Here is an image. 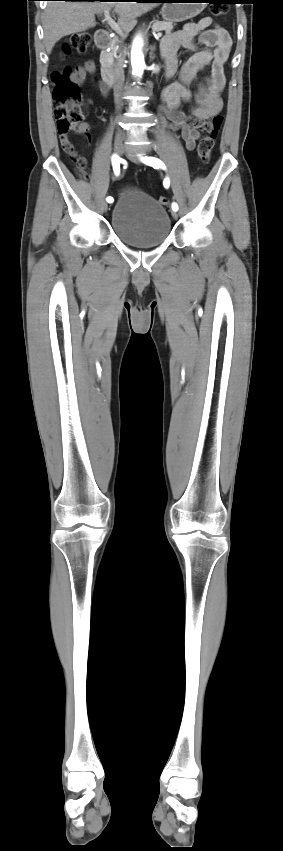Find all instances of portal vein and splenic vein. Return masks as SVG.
Listing matches in <instances>:
<instances>
[{
  "mask_svg": "<svg viewBox=\"0 0 283 851\" xmlns=\"http://www.w3.org/2000/svg\"><path fill=\"white\" fill-rule=\"evenodd\" d=\"M104 17H105V21L108 23V25H109V26H110V27H111V28H112L115 32H117L118 34H120V35H122V36L124 35V32H123V30L121 29V27H120V26H119V25H118V24H117V23H116V22H115V21L111 18V16H110V14H109V10H108V9H106V10L104 11ZM161 36H162V33H158V34H156V36H155V37H156V39H159Z\"/></svg>",
  "mask_w": 283,
  "mask_h": 851,
  "instance_id": "1",
  "label": "portal vein and splenic vein"
}]
</instances>
